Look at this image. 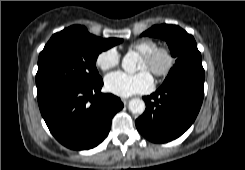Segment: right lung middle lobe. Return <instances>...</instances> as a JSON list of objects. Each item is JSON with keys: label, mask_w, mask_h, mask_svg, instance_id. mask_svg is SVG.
<instances>
[{"label": "right lung middle lobe", "mask_w": 245, "mask_h": 170, "mask_svg": "<svg viewBox=\"0 0 245 170\" xmlns=\"http://www.w3.org/2000/svg\"><path fill=\"white\" fill-rule=\"evenodd\" d=\"M92 36L86 28H67L54 34L38 59L37 98L67 87H87L99 82L96 60L102 51L121 43Z\"/></svg>", "instance_id": "1"}]
</instances>
